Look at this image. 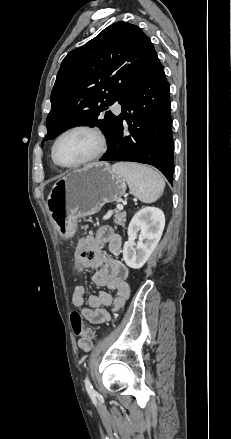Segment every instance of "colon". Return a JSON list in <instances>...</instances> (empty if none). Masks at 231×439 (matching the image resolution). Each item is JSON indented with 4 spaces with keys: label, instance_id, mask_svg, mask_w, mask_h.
Here are the masks:
<instances>
[{
    "label": "colon",
    "instance_id": "obj_1",
    "mask_svg": "<svg viewBox=\"0 0 231 439\" xmlns=\"http://www.w3.org/2000/svg\"><path fill=\"white\" fill-rule=\"evenodd\" d=\"M73 270L76 271V273H85L86 266L83 264V258L77 257L72 263ZM81 283V282H78ZM70 322L71 327L75 335L80 336L81 338H84L85 340L92 341L95 334L94 331L91 328H86L83 325L81 315L73 311L70 314Z\"/></svg>",
    "mask_w": 231,
    "mask_h": 439
}]
</instances>
